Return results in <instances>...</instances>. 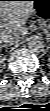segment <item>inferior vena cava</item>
<instances>
[{
    "label": "inferior vena cava",
    "mask_w": 50,
    "mask_h": 111,
    "mask_svg": "<svg viewBox=\"0 0 50 111\" xmlns=\"http://www.w3.org/2000/svg\"><path fill=\"white\" fill-rule=\"evenodd\" d=\"M20 34H4L1 38V41H3L6 44L13 45L16 42L20 41Z\"/></svg>",
    "instance_id": "602c4592"
}]
</instances>
